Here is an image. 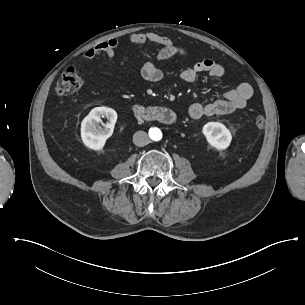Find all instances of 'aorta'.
<instances>
[{"mask_svg": "<svg viewBox=\"0 0 305 305\" xmlns=\"http://www.w3.org/2000/svg\"><path fill=\"white\" fill-rule=\"evenodd\" d=\"M162 138V134H161V132L158 130L156 133H154L153 135H152V139L153 140H160Z\"/></svg>", "mask_w": 305, "mask_h": 305, "instance_id": "obj_1", "label": "aorta"}]
</instances>
